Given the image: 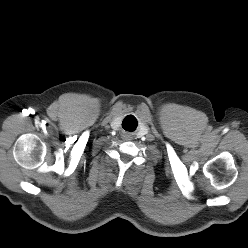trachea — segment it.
Returning a JSON list of instances; mask_svg holds the SVG:
<instances>
[{
  "label": "trachea",
  "mask_w": 248,
  "mask_h": 248,
  "mask_svg": "<svg viewBox=\"0 0 248 248\" xmlns=\"http://www.w3.org/2000/svg\"><path fill=\"white\" fill-rule=\"evenodd\" d=\"M129 120L131 121V123L127 124ZM122 126L127 131H133L137 127V120L133 116H128L123 121Z\"/></svg>",
  "instance_id": "trachea-1"
}]
</instances>
